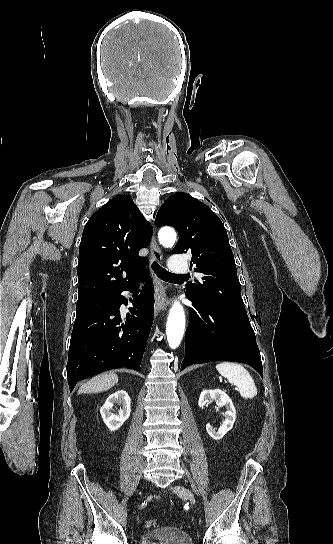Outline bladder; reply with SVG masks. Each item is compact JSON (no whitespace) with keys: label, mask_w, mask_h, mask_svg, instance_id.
I'll return each instance as SVG.
<instances>
[{"label":"bladder","mask_w":333,"mask_h":544,"mask_svg":"<svg viewBox=\"0 0 333 544\" xmlns=\"http://www.w3.org/2000/svg\"><path fill=\"white\" fill-rule=\"evenodd\" d=\"M138 544H194L185 531L176 527H162L144 533Z\"/></svg>","instance_id":"obj_1"}]
</instances>
